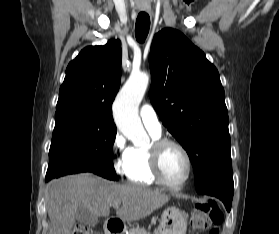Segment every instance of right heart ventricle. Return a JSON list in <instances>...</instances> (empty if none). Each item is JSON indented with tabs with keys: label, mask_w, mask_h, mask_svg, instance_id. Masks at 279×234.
Returning <instances> with one entry per match:
<instances>
[{
	"label": "right heart ventricle",
	"mask_w": 279,
	"mask_h": 234,
	"mask_svg": "<svg viewBox=\"0 0 279 234\" xmlns=\"http://www.w3.org/2000/svg\"><path fill=\"white\" fill-rule=\"evenodd\" d=\"M150 134L154 140L160 137V134ZM150 160V145L130 147L123 164V173L128 181L146 186L157 184Z\"/></svg>",
	"instance_id": "right-heart-ventricle-1"
}]
</instances>
